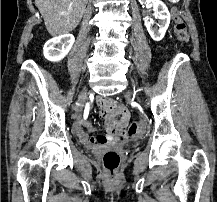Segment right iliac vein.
<instances>
[{"label":"right iliac vein","instance_id":"obj_1","mask_svg":"<svg viewBox=\"0 0 217 202\" xmlns=\"http://www.w3.org/2000/svg\"><path fill=\"white\" fill-rule=\"evenodd\" d=\"M86 94H87V91H86V90L82 91V92L79 94L78 101H79L80 104H81V103L83 102V100L85 99ZM79 111H80V108H79V106H77V107H76V112L79 113Z\"/></svg>","mask_w":217,"mask_h":202}]
</instances>
